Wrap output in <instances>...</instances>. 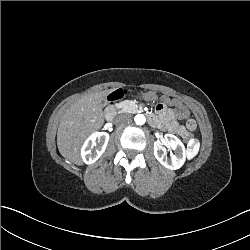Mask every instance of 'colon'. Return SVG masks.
<instances>
[{
	"mask_svg": "<svg viewBox=\"0 0 250 250\" xmlns=\"http://www.w3.org/2000/svg\"><path fill=\"white\" fill-rule=\"evenodd\" d=\"M126 95H127V90L123 89V88H119V89L112 91L108 95L107 99L109 102L113 103L115 101H118V100L124 98ZM187 126L191 130H193L195 128V124L193 122H190V121L187 123ZM193 138H194L193 135L189 133L184 137L183 141L185 144L188 145L192 142Z\"/></svg>",
	"mask_w": 250,
	"mask_h": 250,
	"instance_id": "obj_1",
	"label": "colon"
}]
</instances>
